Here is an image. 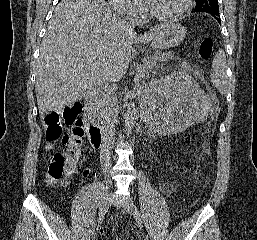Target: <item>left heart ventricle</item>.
Segmentation results:
<instances>
[{
	"instance_id": "obj_1",
	"label": "left heart ventricle",
	"mask_w": 257,
	"mask_h": 240,
	"mask_svg": "<svg viewBox=\"0 0 257 240\" xmlns=\"http://www.w3.org/2000/svg\"><path fill=\"white\" fill-rule=\"evenodd\" d=\"M151 10L160 16L177 12L183 5V0H147Z\"/></svg>"
}]
</instances>
